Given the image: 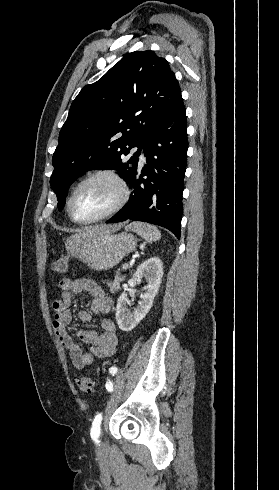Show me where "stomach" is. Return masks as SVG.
<instances>
[{"instance_id": "1", "label": "stomach", "mask_w": 279, "mask_h": 490, "mask_svg": "<svg viewBox=\"0 0 279 490\" xmlns=\"http://www.w3.org/2000/svg\"><path fill=\"white\" fill-rule=\"evenodd\" d=\"M136 238L127 232L121 234H104L91 240H74L73 236L66 242L68 256L77 258L95 272H106L117 266L125 256L134 252Z\"/></svg>"}]
</instances>
